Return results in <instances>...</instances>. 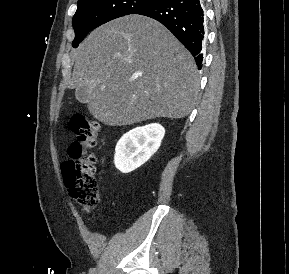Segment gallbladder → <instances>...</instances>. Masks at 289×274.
Listing matches in <instances>:
<instances>
[{
    "label": "gallbladder",
    "instance_id": "1",
    "mask_svg": "<svg viewBox=\"0 0 289 274\" xmlns=\"http://www.w3.org/2000/svg\"><path fill=\"white\" fill-rule=\"evenodd\" d=\"M75 96L76 99L81 102V103H86L87 98H88V94H87V90L84 87H79L76 89L75 91Z\"/></svg>",
    "mask_w": 289,
    "mask_h": 274
}]
</instances>
